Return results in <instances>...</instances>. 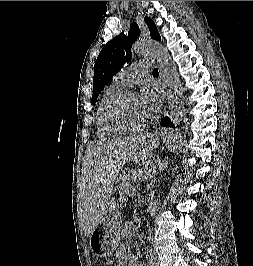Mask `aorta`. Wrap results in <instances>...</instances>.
<instances>
[{"label":"aorta","instance_id":"obj_1","mask_svg":"<svg viewBox=\"0 0 253 266\" xmlns=\"http://www.w3.org/2000/svg\"><path fill=\"white\" fill-rule=\"evenodd\" d=\"M137 55H151L157 59L159 73L164 84L169 87L167 94L169 117L174 125H179L184 110L183 91L175 64L170 60L166 48L158 42L138 41L133 45Z\"/></svg>","mask_w":253,"mask_h":266}]
</instances>
